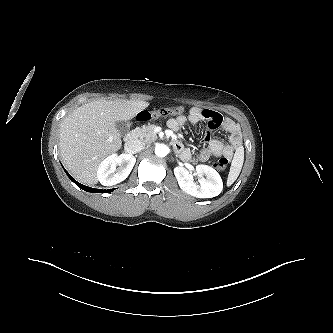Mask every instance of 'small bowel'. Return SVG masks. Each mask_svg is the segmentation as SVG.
Masks as SVG:
<instances>
[{
	"mask_svg": "<svg viewBox=\"0 0 333 333\" xmlns=\"http://www.w3.org/2000/svg\"><path fill=\"white\" fill-rule=\"evenodd\" d=\"M206 123V133L204 137V147L198 152L197 158L201 162L208 161L211 157L225 156L231 159L234 153L242 144V135L240 128L232 119L222 116L220 113L207 108H191L187 114H182L168 120V127L172 130H178L186 122L197 124ZM221 128L229 135L228 143L222 140L212 138V132ZM175 147L181 152L184 159L190 160L192 152L184 148L179 141H175Z\"/></svg>",
	"mask_w": 333,
	"mask_h": 333,
	"instance_id": "small-bowel-1",
	"label": "small bowel"
}]
</instances>
